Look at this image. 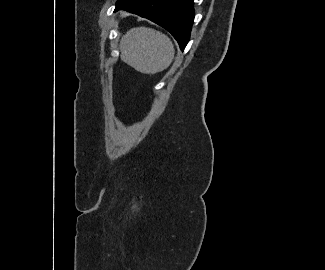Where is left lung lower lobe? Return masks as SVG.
I'll return each mask as SVG.
<instances>
[{"mask_svg":"<svg viewBox=\"0 0 325 270\" xmlns=\"http://www.w3.org/2000/svg\"><path fill=\"white\" fill-rule=\"evenodd\" d=\"M147 18L168 30L184 50L194 20L193 0H120L116 9Z\"/></svg>","mask_w":325,"mask_h":270,"instance_id":"obj_1","label":"left lung lower lobe"}]
</instances>
